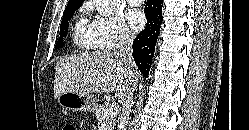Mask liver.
<instances>
[{"label": "liver", "instance_id": "6515ba94", "mask_svg": "<svg viewBox=\"0 0 249 130\" xmlns=\"http://www.w3.org/2000/svg\"><path fill=\"white\" fill-rule=\"evenodd\" d=\"M138 70L134 74L137 84ZM131 88L128 71L118 53L97 52L73 55L56 64L54 97L66 92L93 94L115 92L119 103Z\"/></svg>", "mask_w": 249, "mask_h": 130}]
</instances>
